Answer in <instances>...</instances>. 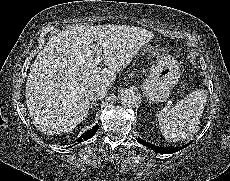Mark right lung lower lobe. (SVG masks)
Listing matches in <instances>:
<instances>
[{
	"instance_id": "right-lung-lower-lobe-1",
	"label": "right lung lower lobe",
	"mask_w": 230,
	"mask_h": 181,
	"mask_svg": "<svg viewBox=\"0 0 230 181\" xmlns=\"http://www.w3.org/2000/svg\"><path fill=\"white\" fill-rule=\"evenodd\" d=\"M99 126L96 124L92 129L88 130L87 132L83 133L75 142L74 145L82 142V141H86L88 139H90L91 137H93L96 133V131L98 130Z\"/></svg>"
}]
</instances>
